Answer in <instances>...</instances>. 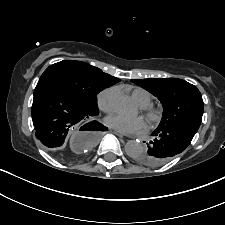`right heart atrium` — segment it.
<instances>
[{"instance_id":"d8ad5b80","label":"right heart atrium","mask_w":225,"mask_h":225,"mask_svg":"<svg viewBox=\"0 0 225 225\" xmlns=\"http://www.w3.org/2000/svg\"><path fill=\"white\" fill-rule=\"evenodd\" d=\"M115 93V88L110 87L102 90L97 95V106L101 111L105 113H111L113 111V101Z\"/></svg>"}]
</instances>
